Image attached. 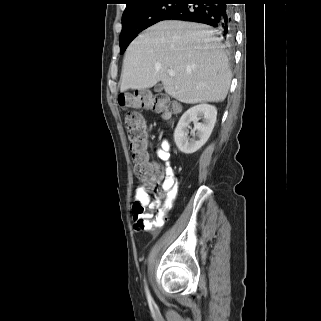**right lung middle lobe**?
I'll return each instance as SVG.
<instances>
[{
  "label": "right lung middle lobe",
  "instance_id": "obj_1",
  "mask_svg": "<svg viewBox=\"0 0 321 321\" xmlns=\"http://www.w3.org/2000/svg\"><path fill=\"white\" fill-rule=\"evenodd\" d=\"M183 0H153L122 16V31L119 37L120 53L123 54L131 41L143 30L162 20L177 8Z\"/></svg>",
  "mask_w": 321,
  "mask_h": 321
}]
</instances>
